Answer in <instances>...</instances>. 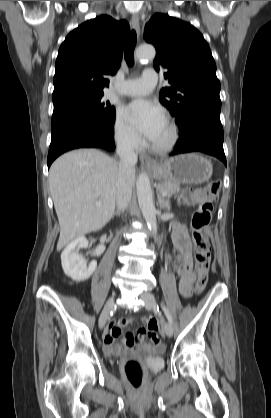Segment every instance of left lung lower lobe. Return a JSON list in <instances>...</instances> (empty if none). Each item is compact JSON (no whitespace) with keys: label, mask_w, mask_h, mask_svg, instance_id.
Instances as JSON below:
<instances>
[{"label":"left lung lower lobe","mask_w":271,"mask_h":418,"mask_svg":"<svg viewBox=\"0 0 271 418\" xmlns=\"http://www.w3.org/2000/svg\"><path fill=\"white\" fill-rule=\"evenodd\" d=\"M180 138L171 155L193 151L213 155L226 164L220 114L199 113L179 121Z\"/></svg>","instance_id":"1"}]
</instances>
